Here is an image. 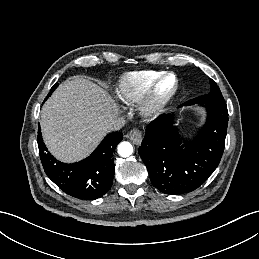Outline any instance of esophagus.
Listing matches in <instances>:
<instances>
[{
  "label": "esophagus",
  "instance_id": "1",
  "mask_svg": "<svg viewBox=\"0 0 259 259\" xmlns=\"http://www.w3.org/2000/svg\"><path fill=\"white\" fill-rule=\"evenodd\" d=\"M127 138H129L134 144L139 145L143 140V133L139 129H132L128 132Z\"/></svg>",
  "mask_w": 259,
  "mask_h": 259
}]
</instances>
